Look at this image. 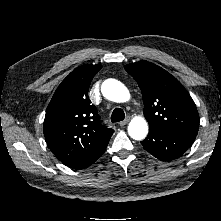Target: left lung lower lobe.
<instances>
[{"label":"left lung lower lobe","instance_id":"left-lung-lower-lobe-1","mask_svg":"<svg viewBox=\"0 0 221 221\" xmlns=\"http://www.w3.org/2000/svg\"><path fill=\"white\" fill-rule=\"evenodd\" d=\"M196 136L174 134L149 129V134L141 143L143 148L156 158L168 161L181 156L193 143Z\"/></svg>","mask_w":221,"mask_h":221}]
</instances>
